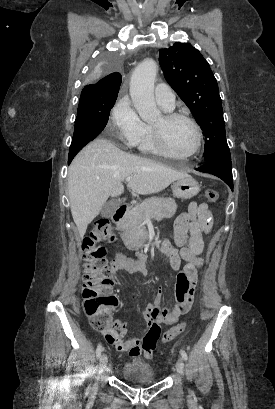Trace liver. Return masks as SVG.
Segmentation results:
<instances>
[{
    "instance_id": "liver-1",
    "label": "liver",
    "mask_w": 275,
    "mask_h": 409,
    "mask_svg": "<svg viewBox=\"0 0 275 409\" xmlns=\"http://www.w3.org/2000/svg\"><path fill=\"white\" fill-rule=\"evenodd\" d=\"M127 176H134L127 184L133 192L151 194L189 174L124 152L107 138H95L78 152L68 170L70 209L81 239L108 196L123 192Z\"/></svg>"
}]
</instances>
